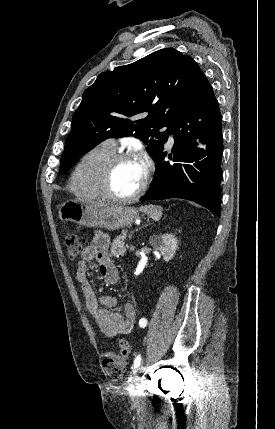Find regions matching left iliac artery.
I'll return each instance as SVG.
<instances>
[{"mask_svg":"<svg viewBox=\"0 0 275 429\" xmlns=\"http://www.w3.org/2000/svg\"><path fill=\"white\" fill-rule=\"evenodd\" d=\"M146 325H147V319H146V318H141V319L139 320V326H140L141 328H144V327H146ZM140 362H141V356H140V355H137V356H136V358H135V360H134V366H133V369L138 368V367H139V365H140Z\"/></svg>","mask_w":275,"mask_h":429,"instance_id":"obj_1","label":"left iliac artery"}]
</instances>
